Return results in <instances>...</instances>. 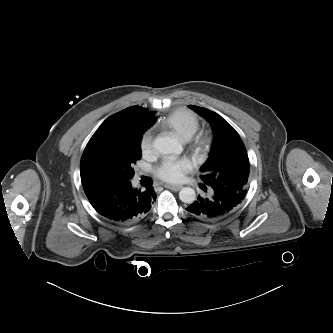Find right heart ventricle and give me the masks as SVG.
<instances>
[{"label": "right heart ventricle", "instance_id": "right-heart-ventricle-1", "mask_svg": "<svg viewBox=\"0 0 333 333\" xmlns=\"http://www.w3.org/2000/svg\"><path fill=\"white\" fill-rule=\"evenodd\" d=\"M161 126L176 134L181 140H189L199 128V120L191 111L175 110L161 122Z\"/></svg>", "mask_w": 333, "mask_h": 333}]
</instances>
